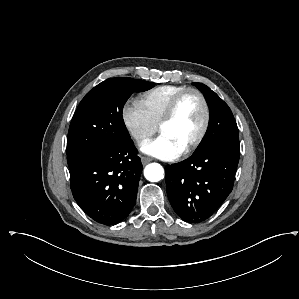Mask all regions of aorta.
<instances>
[{"instance_id":"762f6f07","label":"aorta","mask_w":299,"mask_h":299,"mask_svg":"<svg viewBox=\"0 0 299 299\" xmlns=\"http://www.w3.org/2000/svg\"><path fill=\"white\" fill-rule=\"evenodd\" d=\"M144 176L150 182H158L164 178V169L158 163L148 164L144 169Z\"/></svg>"}]
</instances>
